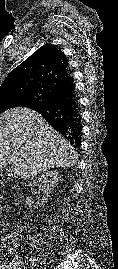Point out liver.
Masks as SVG:
<instances>
[{
  "label": "liver",
  "mask_w": 118,
  "mask_h": 269,
  "mask_svg": "<svg viewBox=\"0 0 118 269\" xmlns=\"http://www.w3.org/2000/svg\"><path fill=\"white\" fill-rule=\"evenodd\" d=\"M76 160L75 149L37 112L17 107L0 114V168L9 164L26 180Z\"/></svg>",
  "instance_id": "6515ba94"
}]
</instances>
